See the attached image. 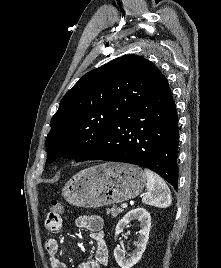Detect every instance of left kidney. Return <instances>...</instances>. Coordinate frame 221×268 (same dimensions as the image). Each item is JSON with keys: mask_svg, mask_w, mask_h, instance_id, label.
Returning a JSON list of instances; mask_svg holds the SVG:
<instances>
[{"mask_svg": "<svg viewBox=\"0 0 221 268\" xmlns=\"http://www.w3.org/2000/svg\"><path fill=\"white\" fill-rule=\"evenodd\" d=\"M137 219L140 222V231L136 249L133 253L125 257V251L119 246L114 249V257L117 264L121 268H131L142 257L146 249V245L149 239V232L151 228V216L148 211L143 208H137L129 211L116 225L115 239L123 231V229L130 223V221Z\"/></svg>", "mask_w": 221, "mask_h": 268, "instance_id": "obj_1", "label": "left kidney"}]
</instances>
